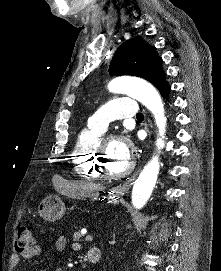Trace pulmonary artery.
<instances>
[{
  "instance_id": "obj_1",
  "label": "pulmonary artery",
  "mask_w": 221,
  "mask_h": 271,
  "mask_svg": "<svg viewBox=\"0 0 221 271\" xmlns=\"http://www.w3.org/2000/svg\"><path fill=\"white\" fill-rule=\"evenodd\" d=\"M114 102H108V107H101V112H96V117H92V122H86V127H108V122H119V117H137V107L132 98H114ZM80 138H98L99 134L94 133L96 130L91 128V133H85L82 130ZM93 132V133H92Z\"/></svg>"
}]
</instances>
